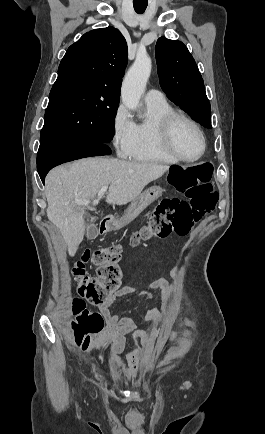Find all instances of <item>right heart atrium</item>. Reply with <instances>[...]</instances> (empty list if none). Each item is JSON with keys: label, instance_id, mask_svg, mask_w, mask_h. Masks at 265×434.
I'll return each mask as SVG.
<instances>
[{"label": "right heart atrium", "instance_id": "d8ad5b80", "mask_svg": "<svg viewBox=\"0 0 265 434\" xmlns=\"http://www.w3.org/2000/svg\"><path fill=\"white\" fill-rule=\"evenodd\" d=\"M119 115H113L111 118L114 126L110 135L111 141H114L115 153L118 159H127L128 154L133 153L132 137L135 130V123L132 122L130 108L128 106H119Z\"/></svg>", "mask_w": 265, "mask_h": 434}]
</instances>
